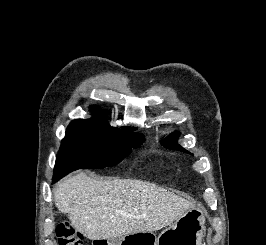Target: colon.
Returning a JSON list of instances; mask_svg holds the SVG:
<instances>
[{"label":"colon","instance_id":"obj_1","mask_svg":"<svg viewBox=\"0 0 266 245\" xmlns=\"http://www.w3.org/2000/svg\"><path fill=\"white\" fill-rule=\"evenodd\" d=\"M57 237L60 245H83V236L68 222L60 224L57 229Z\"/></svg>","mask_w":266,"mask_h":245}]
</instances>
